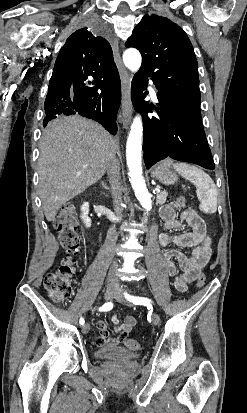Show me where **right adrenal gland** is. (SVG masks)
<instances>
[{
  "label": "right adrenal gland",
  "instance_id": "1",
  "mask_svg": "<svg viewBox=\"0 0 247 413\" xmlns=\"http://www.w3.org/2000/svg\"><path fill=\"white\" fill-rule=\"evenodd\" d=\"M101 184L103 188H106V190H110V186H107L106 182H103V180H101Z\"/></svg>",
  "mask_w": 247,
  "mask_h": 413
}]
</instances>
